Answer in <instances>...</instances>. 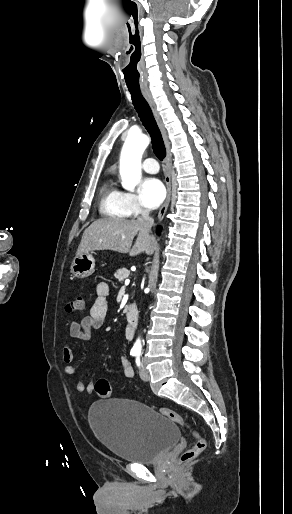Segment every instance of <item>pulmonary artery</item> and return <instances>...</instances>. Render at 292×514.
Listing matches in <instances>:
<instances>
[{"instance_id": "pulmonary-artery-1", "label": "pulmonary artery", "mask_w": 292, "mask_h": 514, "mask_svg": "<svg viewBox=\"0 0 292 514\" xmlns=\"http://www.w3.org/2000/svg\"><path fill=\"white\" fill-rule=\"evenodd\" d=\"M144 170L148 173H153L158 170V163L154 157H147L144 160Z\"/></svg>"}]
</instances>
